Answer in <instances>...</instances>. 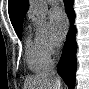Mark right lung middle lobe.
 <instances>
[{
    "mask_svg": "<svg viewBox=\"0 0 89 89\" xmlns=\"http://www.w3.org/2000/svg\"><path fill=\"white\" fill-rule=\"evenodd\" d=\"M16 33H17L19 39L21 40V38H22V24L19 26L18 29H16Z\"/></svg>",
    "mask_w": 89,
    "mask_h": 89,
    "instance_id": "1",
    "label": "right lung middle lobe"
}]
</instances>
